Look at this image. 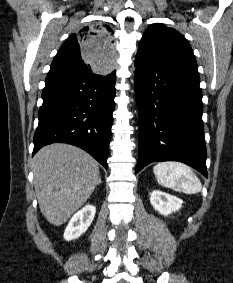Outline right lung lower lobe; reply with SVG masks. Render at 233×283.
I'll return each mask as SVG.
<instances>
[{
	"label": "right lung lower lobe",
	"mask_w": 233,
	"mask_h": 283,
	"mask_svg": "<svg viewBox=\"0 0 233 283\" xmlns=\"http://www.w3.org/2000/svg\"><path fill=\"white\" fill-rule=\"evenodd\" d=\"M115 82V71L104 70L47 76L33 155L63 142L84 149L107 169Z\"/></svg>",
	"instance_id": "1"
}]
</instances>
